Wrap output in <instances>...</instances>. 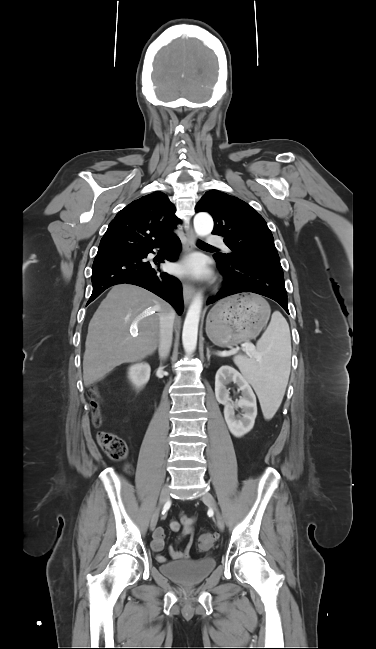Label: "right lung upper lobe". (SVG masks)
<instances>
[{"label":"right lung upper lobe","mask_w":376,"mask_h":649,"mask_svg":"<svg viewBox=\"0 0 376 649\" xmlns=\"http://www.w3.org/2000/svg\"><path fill=\"white\" fill-rule=\"evenodd\" d=\"M168 197L156 191L117 213L101 239L97 256L134 253L172 237L180 219Z\"/></svg>","instance_id":"cb5924a9"}]
</instances>
